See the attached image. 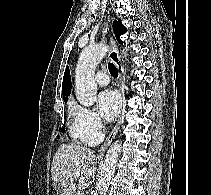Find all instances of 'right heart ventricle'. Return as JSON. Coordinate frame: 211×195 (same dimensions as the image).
I'll list each match as a JSON object with an SVG mask.
<instances>
[{"instance_id": "e07e8e85", "label": "right heart ventricle", "mask_w": 211, "mask_h": 195, "mask_svg": "<svg viewBox=\"0 0 211 195\" xmlns=\"http://www.w3.org/2000/svg\"><path fill=\"white\" fill-rule=\"evenodd\" d=\"M74 107L75 106H73V105L70 106V110H71V113L73 115V119L69 124V133L75 141L81 142V141H84V140L82 139V137L79 133L78 127H77V123H76V119H75V115H74Z\"/></svg>"}]
</instances>
